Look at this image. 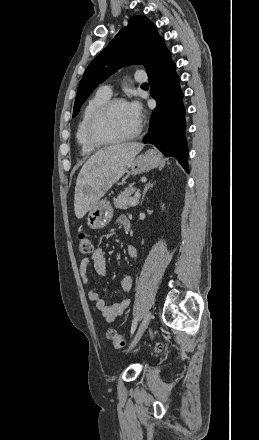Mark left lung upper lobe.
Instances as JSON below:
<instances>
[{"label":"left lung upper lobe","mask_w":259,"mask_h":440,"mask_svg":"<svg viewBox=\"0 0 259 440\" xmlns=\"http://www.w3.org/2000/svg\"><path fill=\"white\" fill-rule=\"evenodd\" d=\"M163 41L157 27L147 17L132 16L128 25L87 67L79 83L73 117L93 90L118 69L134 63L144 64L146 68Z\"/></svg>","instance_id":"1"}]
</instances>
